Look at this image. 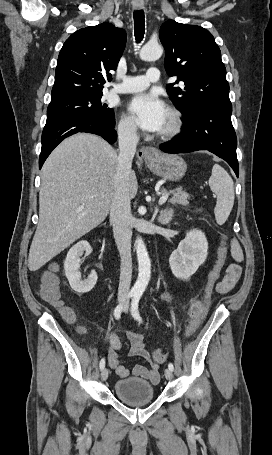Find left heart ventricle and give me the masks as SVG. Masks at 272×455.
Returning <instances> with one entry per match:
<instances>
[{
  "instance_id": "left-heart-ventricle-1",
  "label": "left heart ventricle",
  "mask_w": 272,
  "mask_h": 455,
  "mask_svg": "<svg viewBox=\"0 0 272 455\" xmlns=\"http://www.w3.org/2000/svg\"><path fill=\"white\" fill-rule=\"evenodd\" d=\"M168 123H169V117H168V115H167V119H166V122H165V124H164L163 130L167 127Z\"/></svg>"
}]
</instances>
